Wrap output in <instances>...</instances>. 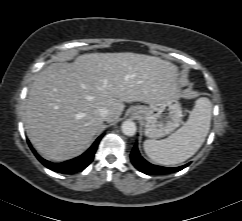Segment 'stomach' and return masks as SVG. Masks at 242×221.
Segmentation results:
<instances>
[{"label":"stomach","instance_id":"obj_1","mask_svg":"<svg viewBox=\"0 0 242 221\" xmlns=\"http://www.w3.org/2000/svg\"><path fill=\"white\" fill-rule=\"evenodd\" d=\"M131 114L145 124V135L157 139L173 132L182 119V108L177 98L163 99L149 106L137 105Z\"/></svg>","mask_w":242,"mask_h":221}]
</instances>
